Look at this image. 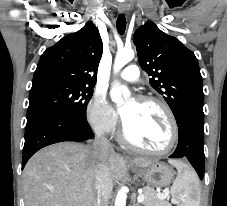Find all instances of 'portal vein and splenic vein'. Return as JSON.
I'll list each match as a JSON object with an SVG mask.
<instances>
[{"instance_id": "18ae733b", "label": "portal vein and splenic vein", "mask_w": 227, "mask_h": 206, "mask_svg": "<svg viewBox=\"0 0 227 206\" xmlns=\"http://www.w3.org/2000/svg\"><path fill=\"white\" fill-rule=\"evenodd\" d=\"M169 195L168 191H166V193H158L157 196L160 198V199H165L167 196ZM144 195L142 193V191H139V195L137 197V201L139 203H142L144 201Z\"/></svg>"}]
</instances>
